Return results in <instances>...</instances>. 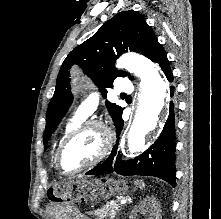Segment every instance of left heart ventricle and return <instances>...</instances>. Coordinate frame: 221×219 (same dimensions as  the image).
I'll return each mask as SVG.
<instances>
[{"label": "left heart ventricle", "mask_w": 221, "mask_h": 219, "mask_svg": "<svg viewBox=\"0 0 221 219\" xmlns=\"http://www.w3.org/2000/svg\"><path fill=\"white\" fill-rule=\"evenodd\" d=\"M102 139L98 128H90L78 134L62 152V168L73 171L91 162L100 152Z\"/></svg>", "instance_id": "left-heart-ventricle-1"}]
</instances>
